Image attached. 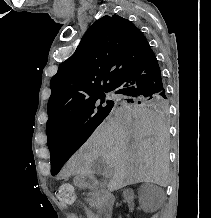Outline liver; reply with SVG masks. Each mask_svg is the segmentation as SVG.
I'll return each mask as SVG.
<instances>
[{
  "label": "liver",
  "mask_w": 211,
  "mask_h": 218,
  "mask_svg": "<svg viewBox=\"0 0 211 218\" xmlns=\"http://www.w3.org/2000/svg\"><path fill=\"white\" fill-rule=\"evenodd\" d=\"M168 138L165 122L152 110L116 108L70 158L65 172L82 178L91 174L94 160H104L113 168L115 188L138 182L167 186Z\"/></svg>",
  "instance_id": "1"
}]
</instances>
